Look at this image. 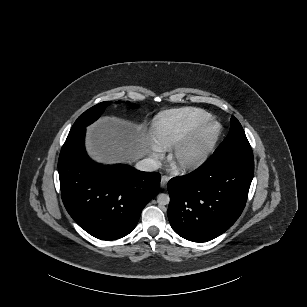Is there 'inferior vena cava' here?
<instances>
[{"label":"inferior vena cava","mask_w":307,"mask_h":307,"mask_svg":"<svg viewBox=\"0 0 307 307\" xmlns=\"http://www.w3.org/2000/svg\"><path fill=\"white\" fill-rule=\"evenodd\" d=\"M160 167V163L152 158H145L136 163L135 168L140 171L151 172Z\"/></svg>","instance_id":"602c4592"}]
</instances>
